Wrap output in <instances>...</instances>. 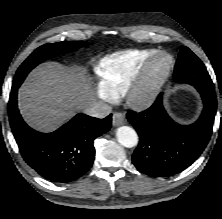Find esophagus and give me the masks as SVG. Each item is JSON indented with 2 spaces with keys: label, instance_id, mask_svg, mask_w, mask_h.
Returning a JSON list of instances; mask_svg holds the SVG:
<instances>
[{
  "label": "esophagus",
  "instance_id": "1",
  "mask_svg": "<svg viewBox=\"0 0 222 219\" xmlns=\"http://www.w3.org/2000/svg\"><path fill=\"white\" fill-rule=\"evenodd\" d=\"M124 123H125L124 115L120 112H115L112 118L113 126H120V125H123Z\"/></svg>",
  "mask_w": 222,
  "mask_h": 219
}]
</instances>
